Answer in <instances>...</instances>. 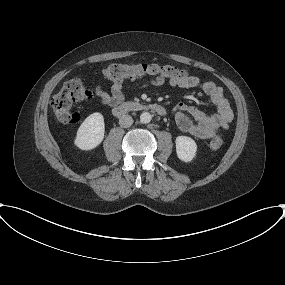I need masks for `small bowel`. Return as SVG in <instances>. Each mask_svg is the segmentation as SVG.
Wrapping results in <instances>:
<instances>
[{"label":"small bowel","instance_id":"small-bowel-1","mask_svg":"<svg viewBox=\"0 0 285 285\" xmlns=\"http://www.w3.org/2000/svg\"><path fill=\"white\" fill-rule=\"evenodd\" d=\"M165 82L166 80L161 78L152 79L147 83L137 85L136 88L147 85L160 86ZM169 84L181 88H200L216 108L215 114L207 115L198 107L178 103L174 107V114L176 124L181 131L200 139H210L219 132L228 129L233 120V112L225 97L224 90L214 81H201L197 77L187 76L181 79L169 80ZM95 92L103 104L115 107L123 101L125 87L122 82H114L110 92L105 91L101 86H97Z\"/></svg>","mask_w":285,"mask_h":285}]
</instances>
